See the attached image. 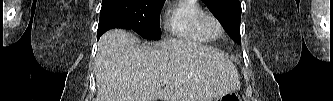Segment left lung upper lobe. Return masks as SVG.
<instances>
[{"instance_id": "1", "label": "left lung upper lobe", "mask_w": 333, "mask_h": 101, "mask_svg": "<svg viewBox=\"0 0 333 101\" xmlns=\"http://www.w3.org/2000/svg\"><path fill=\"white\" fill-rule=\"evenodd\" d=\"M213 15L219 20L229 36L241 44L240 19L241 3L239 0H203Z\"/></svg>"}]
</instances>
